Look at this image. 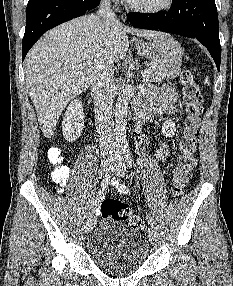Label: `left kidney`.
<instances>
[{
    "mask_svg": "<svg viewBox=\"0 0 233 286\" xmlns=\"http://www.w3.org/2000/svg\"><path fill=\"white\" fill-rule=\"evenodd\" d=\"M162 133L166 137H172L175 135L176 127L175 123L172 120H165L162 124Z\"/></svg>",
    "mask_w": 233,
    "mask_h": 286,
    "instance_id": "left-kidney-1",
    "label": "left kidney"
}]
</instances>
